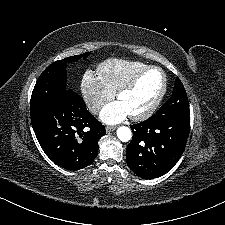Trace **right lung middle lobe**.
I'll return each instance as SVG.
<instances>
[{
    "mask_svg": "<svg viewBox=\"0 0 225 225\" xmlns=\"http://www.w3.org/2000/svg\"><path fill=\"white\" fill-rule=\"evenodd\" d=\"M90 52L82 55L58 60L49 65L39 76L31 95L30 110L39 108L47 102L61 97L70 90H66V66L67 63L76 62L88 57Z\"/></svg>",
    "mask_w": 225,
    "mask_h": 225,
    "instance_id": "right-lung-middle-lobe-1",
    "label": "right lung middle lobe"
}]
</instances>
